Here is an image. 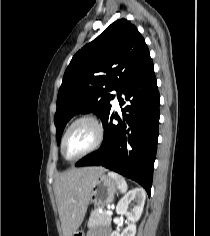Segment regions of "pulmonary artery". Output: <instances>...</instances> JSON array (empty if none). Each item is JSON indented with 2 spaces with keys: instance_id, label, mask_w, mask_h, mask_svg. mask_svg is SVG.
Masks as SVG:
<instances>
[{
  "instance_id": "1",
  "label": "pulmonary artery",
  "mask_w": 210,
  "mask_h": 236,
  "mask_svg": "<svg viewBox=\"0 0 210 236\" xmlns=\"http://www.w3.org/2000/svg\"><path fill=\"white\" fill-rule=\"evenodd\" d=\"M114 94H115L114 104H115V105H118V92H117V91H114Z\"/></svg>"
}]
</instances>
